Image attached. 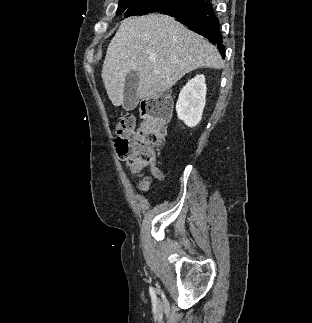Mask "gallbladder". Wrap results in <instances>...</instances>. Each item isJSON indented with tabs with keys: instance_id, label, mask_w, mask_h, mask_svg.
<instances>
[{
	"instance_id": "1",
	"label": "gallbladder",
	"mask_w": 312,
	"mask_h": 323,
	"mask_svg": "<svg viewBox=\"0 0 312 323\" xmlns=\"http://www.w3.org/2000/svg\"><path fill=\"white\" fill-rule=\"evenodd\" d=\"M139 86V76L138 72L131 70L125 78L124 84V100L123 108L124 110H134L138 104L137 100V90Z\"/></svg>"
}]
</instances>
